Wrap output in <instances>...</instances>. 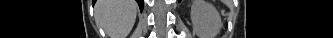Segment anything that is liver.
<instances>
[{
	"label": "liver",
	"instance_id": "liver-1",
	"mask_svg": "<svg viewBox=\"0 0 333 38\" xmlns=\"http://www.w3.org/2000/svg\"><path fill=\"white\" fill-rule=\"evenodd\" d=\"M137 14L134 0H98L95 17L111 38H125L131 31Z\"/></svg>",
	"mask_w": 333,
	"mask_h": 38
}]
</instances>
